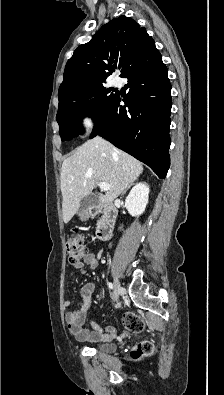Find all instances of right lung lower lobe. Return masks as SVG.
I'll list each match as a JSON object with an SVG mask.
<instances>
[{"label":"right lung lower lobe","instance_id":"98d812e1","mask_svg":"<svg viewBox=\"0 0 224 395\" xmlns=\"http://www.w3.org/2000/svg\"><path fill=\"white\" fill-rule=\"evenodd\" d=\"M167 73L156 47L132 64L122 76L128 79V94L122 99L116 93L90 135L102 136L144 162L160 179L165 178L170 166L172 102Z\"/></svg>","mask_w":224,"mask_h":395}]
</instances>
